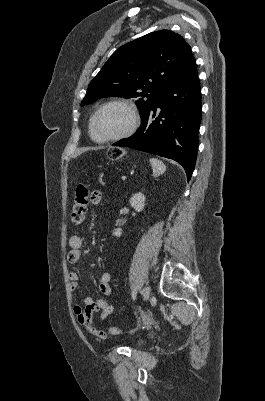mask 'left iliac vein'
Masks as SVG:
<instances>
[{"instance_id": "1", "label": "left iliac vein", "mask_w": 265, "mask_h": 401, "mask_svg": "<svg viewBox=\"0 0 265 401\" xmlns=\"http://www.w3.org/2000/svg\"><path fill=\"white\" fill-rule=\"evenodd\" d=\"M151 294V289L150 287L146 286L144 287V289L142 290V295H143V299L146 301L149 299Z\"/></svg>"}]
</instances>
